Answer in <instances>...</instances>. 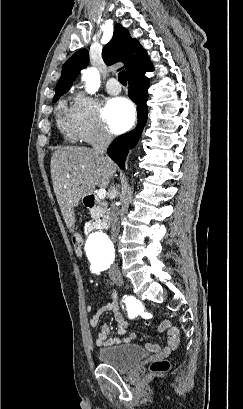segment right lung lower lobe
I'll return each mask as SVG.
<instances>
[{
  "label": "right lung lower lobe",
  "mask_w": 243,
  "mask_h": 409,
  "mask_svg": "<svg viewBox=\"0 0 243 409\" xmlns=\"http://www.w3.org/2000/svg\"><path fill=\"white\" fill-rule=\"evenodd\" d=\"M153 68L147 70L151 71ZM145 72L128 79L129 97L136 103L138 108V125L133 132H129L117 137L108 149L110 158L117 163L120 168H124L126 156L129 149H132L138 142L144 125L146 123L148 109V87L149 79L145 77Z\"/></svg>",
  "instance_id": "1"
}]
</instances>
